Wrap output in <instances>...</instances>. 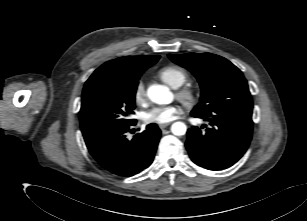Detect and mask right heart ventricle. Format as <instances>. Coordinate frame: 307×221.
Returning a JSON list of instances; mask_svg holds the SVG:
<instances>
[{
	"label": "right heart ventricle",
	"mask_w": 307,
	"mask_h": 221,
	"mask_svg": "<svg viewBox=\"0 0 307 221\" xmlns=\"http://www.w3.org/2000/svg\"><path fill=\"white\" fill-rule=\"evenodd\" d=\"M157 76L166 84L173 88L182 86L188 80L187 72L175 65H167L162 67Z\"/></svg>",
	"instance_id": "e07e8e85"
}]
</instances>
